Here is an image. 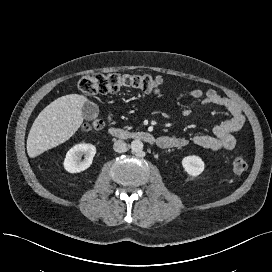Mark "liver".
Returning <instances> with one entry per match:
<instances>
[{
    "mask_svg": "<svg viewBox=\"0 0 272 272\" xmlns=\"http://www.w3.org/2000/svg\"><path fill=\"white\" fill-rule=\"evenodd\" d=\"M87 98L69 94L51 102L35 119L27 139L29 157H36L69 140L83 122L82 108Z\"/></svg>",
    "mask_w": 272,
    "mask_h": 272,
    "instance_id": "obj_1",
    "label": "liver"
}]
</instances>
